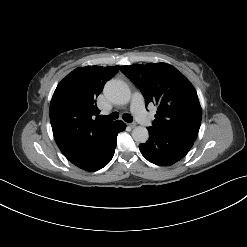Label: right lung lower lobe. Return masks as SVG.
<instances>
[{
    "instance_id": "98d812e1",
    "label": "right lung lower lobe",
    "mask_w": 247,
    "mask_h": 247,
    "mask_svg": "<svg viewBox=\"0 0 247 247\" xmlns=\"http://www.w3.org/2000/svg\"><path fill=\"white\" fill-rule=\"evenodd\" d=\"M125 128V123L117 120L96 130L89 136L83 151L68 160L85 171H97L103 168L114 155L118 133Z\"/></svg>"
}]
</instances>
